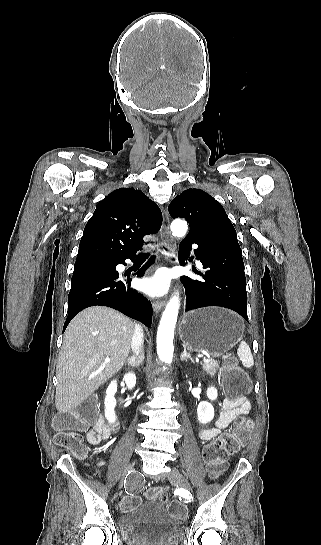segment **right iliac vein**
<instances>
[{"mask_svg": "<svg viewBox=\"0 0 321 545\" xmlns=\"http://www.w3.org/2000/svg\"><path fill=\"white\" fill-rule=\"evenodd\" d=\"M133 468H134V463L130 464L128 467H127V470L125 471V473L123 474V477L121 479V482L119 484V489L122 488L123 486V481H124V478L127 477V475L133 471Z\"/></svg>", "mask_w": 321, "mask_h": 545, "instance_id": "63e3f726", "label": "right iliac vein"}]
</instances>
